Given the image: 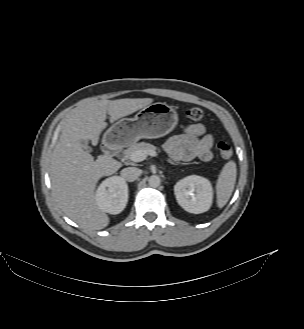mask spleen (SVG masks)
Masks as SVG:
<instances>
[{"label":"spleen","instance_id":"3e777b00","mask_svg":"<svg viewBox=\"0 0 304 329\" xmlns=\"http://www.w3.org/2000/svg\"><path fill=\"white\" fill-rule=\"evenodd\" d=\"M237 168L234 161L227 162L217 179L216 183V194H217V206L222 208L228 202L234 186L236 183Z\"/></svg>","mask_w":304,"mask_h":329}]
</instances>
